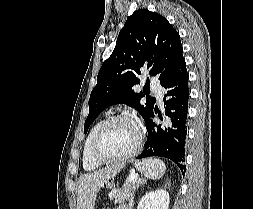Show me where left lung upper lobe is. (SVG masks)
I'll use <instances>...</instances> for the list:
<instances>
[{
  "label": "left lung upper lobe",
  "instance_id": "left-lung-upper-lobe-1",
  "mask_svg": "<svg viewBox=\"0 0 253 209\" xmlns=\"http://www.w3.org/2000/svg\"><path fill=\"white\" fill-rule=\"evenodd\" d=\"M182 53L180 36L166 18L147 9L135 11L126 20L112 54L98 73L84 132L105 108L114 104L135 108L147 123L153 117L156 99L146 96L142 105L140 100L145 93H136L132 87L139 84L142 69H148L161 84L184 59Z\"/></svg>",
  "mask_w": 253,
  "mask_h": 209
}]
</instances>
